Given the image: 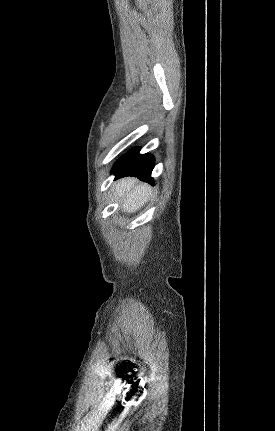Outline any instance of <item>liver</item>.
Wrapping results in <instances>:
<instances>
[{
	"label": "liver",
	"mask_w": 275,
	"mask_h": 431,
	"mask_svg": "<svg viewBox=\"0 0 275 431\" xmlns=\"http://www.w3.org/2000/svg\"><path fill=\"white\" fill-rule=\"evenodd\" d=\"M152 188L145 183H138L135 178H125L115 184V196L121 199L123 212L135 213L148 201Z\"/></svg>",
	"instance_id": "6515ba94"
}]
</instances>
